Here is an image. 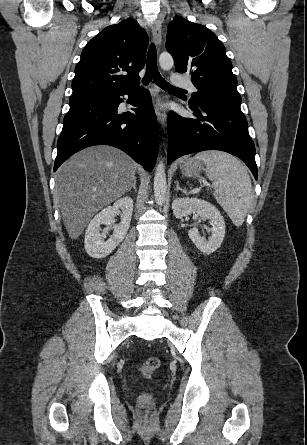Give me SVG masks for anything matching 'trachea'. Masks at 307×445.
I'll list each match as a JSON object with an SVG mask.
<instances>
[{"label":"trachea","mask_w":307,"mask_h":445,"mask_svg":"<svg viewBox=\"0 0 307 445\" xmlns=\"http://www.w3.org/2000/svg\"><path fill=\"white\" fill-rule=\"evenodd\" d=\"M163 90H182V88H177L168 83L159 73L157 68V52L154 44H151L147 56L146 73L142 80L144 85H147L151 80Z\"/></svg>","instance_id":"obj_1"}]
</instances>
